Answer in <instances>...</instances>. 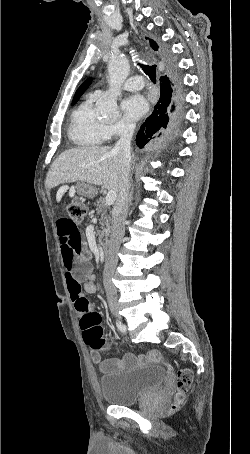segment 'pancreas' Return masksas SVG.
<instances>
[{
	"label": "pancreas",
	"mask_w": 250,
	"mask_h": 454,
	"mask_svg": "<svg viewBox=\"0 0 250 454\" xmlns=\"http://www.w3.org/2000/svg\"><path fill=\"white\" fill-rule=\"evenodd\" d=\"M96 211L101 214V231H98L97 235L99 236V240L103 239L104 237L107 238L110 234V220L109 216H106L108 211V206L105 204V199L100 198L95 203Z\"/></svg>",
	"instance_id": "pancreas-1"
}]
</instances>
